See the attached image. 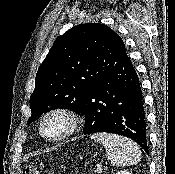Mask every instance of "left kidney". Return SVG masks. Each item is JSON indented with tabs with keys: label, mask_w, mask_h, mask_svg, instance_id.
<instances>
[{
	"label": "left kidney",
	"mask_w": 175,
	"mask_h": 174,
	"mask_svg": "<svg viewBox=\"0 0 175 174\" xmlns=\"http://www.w3.org/2000/svg\"><path fill=\"white\" fill-rule=\"evenodd\" d=\"M116 174H130L128 171H121V172H117Z\"/></svg>",
	"instance_id": "5707ae66"
}]
</instances>
